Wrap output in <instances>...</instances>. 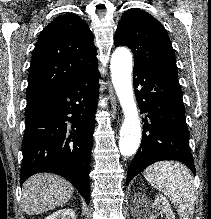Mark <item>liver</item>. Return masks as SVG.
Instances as JSON below:
<instances>
[{
	"instance_id": "6515ba94",
	"label": "liver",
	"mask_w": 211,
	"mask_h": 219,
	"mask_svg": "<svg viewBox=\"0 0 211 219\" xmlns=\"http://www.w3.org/2000/svg\"><path fill=\"white\" fill-rule=\"evenodd\" d=\"M74 187L63 177L41 173L30 177L23 185L22 205L28 215H36L67 203Z\"/></svg>"
}]
</instances>
